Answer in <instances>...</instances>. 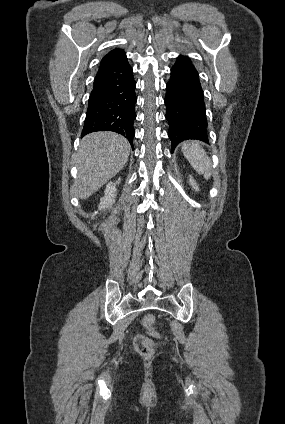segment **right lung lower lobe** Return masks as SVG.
<instances>
[{"label": "right lung lower lobe", "mask_w": 285, "mask_h": 424, "mask_svg": "<svg viewBox=\"0 0 285 424\" xmlns=\"http://www.w3.org/2000/svg\"><path fill=\"white\" fill-rule=\"evenodd\" d=\"M136 82L127 58L100 65L91 91L82 136L113 131L128 139L133 148Z\"/></svg>", "instance_id": "98d812e1"}]
</instances>
